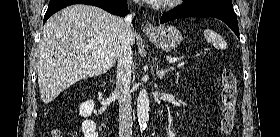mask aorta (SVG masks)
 Instances as JSON below:
<instances>
[{"mask_svg": "<svg viewBox=\"0 0 280 137\" xmlns=\"http://www.w3.org/2000/svg\"><path fill=\"white\" fill-rule=\"evenodd\" d=\"M137 118L140 132L143 133L149 121V98L146 89L139 92L137 99Z\"/></svg>", "mask_w": 280, "mask_h": 137, "instance_id": "obj_1", "label": "aorta"}]
</instances>
